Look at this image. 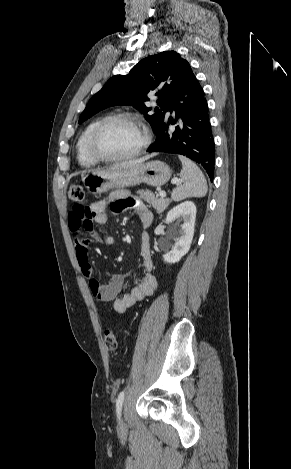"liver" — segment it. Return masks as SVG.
I'll return each instance as SVG.
<instances>
[{
  "mask_svg": "<svg viewBox=\"0 0 291 469\" xmlns=\"http://www.w3.org/2000/svg\"><path fill=\"white\" fill-rule=\"evenodd\" d=\"M150 157L151 156H145V157H142V158H139V159L128 160V161L122 162L120 164H116V165L110 167L108 170H115V169H119V168H125V167H128V166H135V165H138V164H141V163L145 162Z\"/></svg>",
  "mask_w": 291,
  "mask_h": 469,
  "instance_id": "1",
  "label": "liver"
}]
</instances>
